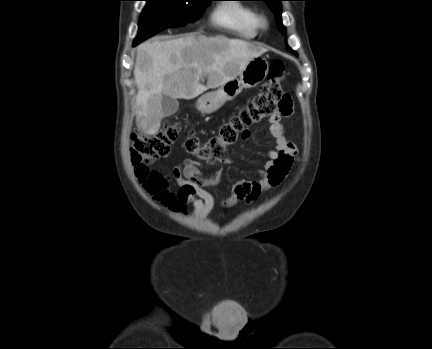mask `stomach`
Listing matches in <instances>:
<instances>
[{"label": "stomach", "mask_w": 432, "mask_h": 349, "mask_svg": "<svg viewBox=\"0 0 432 349\" xmlns=\"http://www.w3.org/2000/svg\"><path fill=\"white\" fill-rule=\"evenodd\" d=\"M269 72L268 61L261 57L253 58L239 74V79H232L221 85L217 90L200 96L196 102L197 109L202 114L217 111L225 102L235 99L243 88L259 85Z\"/></svg>", "instance_id": "1"}]
</instances>
